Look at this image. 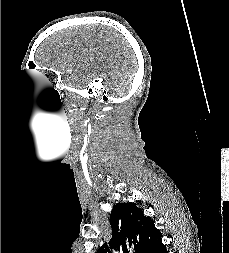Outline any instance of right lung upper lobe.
Listing matches in <instances>:
<instances>
[{
    "mask_svg": "<svg viewBox=\"0 0 229 253\" xmlns=\"http://www.w3.org/2000/svg\"><path fill=\"white\" fill-rule=\"evenodd\" d=\"M112 238L110 247L129 253H149L162 239L161 232L155 228L154 221L145 216L135 203H118L114 205L110 215ZM97 253H111L107 243Z\"/></svg>",
    "mask_w": 229,
    "mask_h": 253,
    "instance_id": "1",
    "label": "right lung upper lobe"
}]
</instances>
